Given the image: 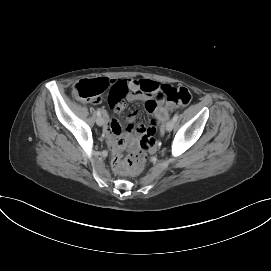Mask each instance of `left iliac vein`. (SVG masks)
<instances>
[{
    "mask_svg": "<svg viewBox=\"0 0 271 271\" xmlns=\"http://www.w3.org/2000/svg\"><path fill=\"white\" fill-rule=\"evenodd\" d=\"M174 128V121L173 119L172 120H169L166 125H165V129L167 131H171L172 129Z\"/></svg>",
    "mask_w": 271,
    "mask_h": 271,
    "instance_id": "obj_1",
    "label": "left iliac vein"
}]
</instances>
